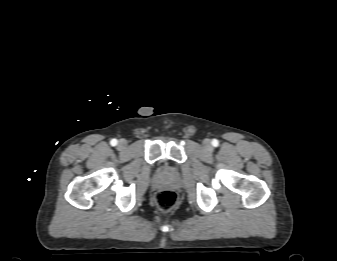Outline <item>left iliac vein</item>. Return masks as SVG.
<instances>
[{"instance_id": "left-iliac-vein-1", "label": "left iliac vein", "mask_w": 337, "mask_h": 261, "mask_svg": "<svg viewBox=\"0 0 337 261\" xmlns=\"http://www.w3.org/2000/svg\"><path fill=\"white\" fill-rule=\"evenodd\" d=\"M203 145H204V147H205L207 150H211V149H212L211 142H210L209 139H205V140L203 141Z\"/></svg>"}]
</instances>
